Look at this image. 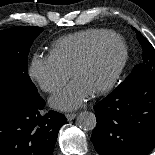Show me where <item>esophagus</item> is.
I'll return each instance as SVG.
<instances>
[{
	"label": "esophagus",
	"mask_w": 155,
	"mask_h": 155,
	"mask_svg": "<svg viewBox=\"0 0 155 155\" xmlns=\"http://www.w3.org/2000/svg\"><path fill=\"white\" fill-rule=\"evenodd\" d=\"M76 117L75 113L66 114V118L68 121H72Z\"/></svg>",
	"instance_id": "1"
}]
</instances>
